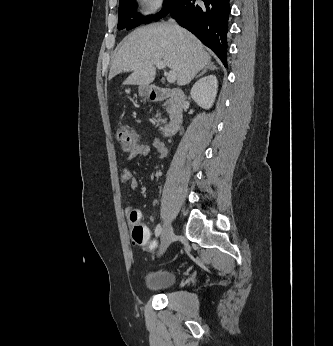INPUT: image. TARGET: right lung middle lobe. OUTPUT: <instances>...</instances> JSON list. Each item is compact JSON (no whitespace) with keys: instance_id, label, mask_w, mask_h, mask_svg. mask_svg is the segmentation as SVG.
<instances>
[{"instance_id":"dd1d6c3e","label":"right lung middle lobe","mask_w":333,"mask_h":346,"mask_svg":"<svg viewBox=\"0 0 333 346\" xmlns=\"http://www.w3.org/2000/svg\"><path fill=\"white\" fill-rule=\"evenodd\" d=\"M179 0H165L164 8L154 17L146 16L142 17L140 14L135 13L136 10V1L135 0H119V11H118V29H132L141 23H149L153 20H158L165 17L171 10V8Z\"/></svg>"}]
</instances>
